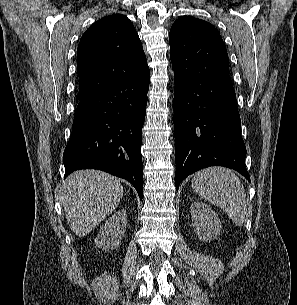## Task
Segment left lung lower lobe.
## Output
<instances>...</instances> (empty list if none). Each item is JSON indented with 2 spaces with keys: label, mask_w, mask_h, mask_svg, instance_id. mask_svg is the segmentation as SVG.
<instances>
[{
  "label": "left lung lower lobe",
  "mask_w": 297,
  "mask_h": 305,
  "mask_svg": "<svg viewBox=\"0 0 297 305\" xmlns=\"http://www.w3.org/2000/svg\"><path fill=\"white\" fill-rule=\"evenodd\" d=\"M172 68L176 189L188 175L208 166L234 169L250 182L230 75H192L173 62Z\"/></svg>",
  "instance_id": "1"
}]
</instances>
